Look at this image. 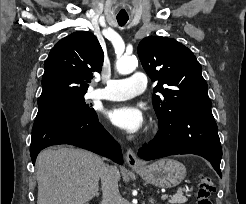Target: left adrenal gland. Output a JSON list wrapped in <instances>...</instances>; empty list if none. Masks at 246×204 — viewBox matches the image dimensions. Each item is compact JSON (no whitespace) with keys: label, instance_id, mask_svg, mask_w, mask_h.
<instances>
[{"label":"left adrenal gland","instance_id":"left-adrenal-gland-1","mask_svg":"<svg viewBox=\"0 0 246 204\" xmlns=\"http://www.w3.org/2000/svg\"><path fill=\"white\" fill-rule=\"evenodd\" d=\"M150 202H151L152 204H154V200L150 199Z\"/></svg>","mask_w":246,"mask_h":204}]
</instances>
